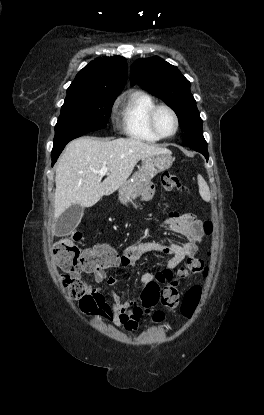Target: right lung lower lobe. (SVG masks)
<instances>
[{
	"mask_svg": "<svg viewBox=\"0 0 264 415\" xmlns=\"http://www.w3.org/2000/svg\"><path fill=\"white\" fill-rule=\"evenodd\" d=\"M65 146L57 148L55 150H52V166L54 165V163L57 161L59 155L61 154L62 150L64 149Z\"/></svg>",
	"mask_w": 264,
	"mask_h": 415,
	"instance_id": "98d812e1",
	"label": "right lung lower lobe"
}]
</instances>
